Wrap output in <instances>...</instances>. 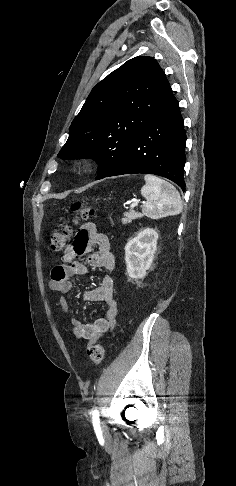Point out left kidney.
<instances>
[{"label": "left kidney", "instance_id": "left-kidney-1", "mask_svg": "<svg viewBox=\"0 0 236 486\" xmlns=\"http://www.w3.org/2000/svg\"><path fill=\"white\" fill-rule=\"evenodd\" d=\"M158 233L151 228L141 230L125 246L127 275L135 280L142 279L153 263L157 250Z\"/></svg>", "mask_w": 236, "mask_h": 486}]
</instances>
